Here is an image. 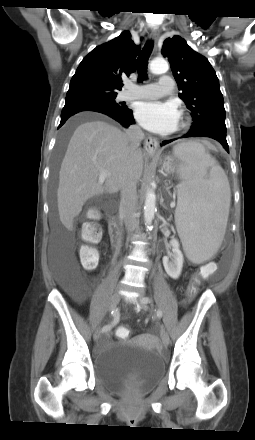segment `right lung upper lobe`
I'll return each mask as SVG.
<instances>
[{"label": "right lung upper lobe", "mask_w": 255, "mask_h": 440, "mask_svg": "<svg viewBox=\"0 0 255 440\" xmlns=\"http://www.w3.org/2000/svg\"><path fill=\"white\" fill-rule=\"evenodd\" d=\"M141 50L129 31L97 46L86 55L71 79L66 102L86 99L94 93L117 94L122 76L136 70V57Z\"/></svg>", "instance_id": "cb5924a9"}]
</instances>
